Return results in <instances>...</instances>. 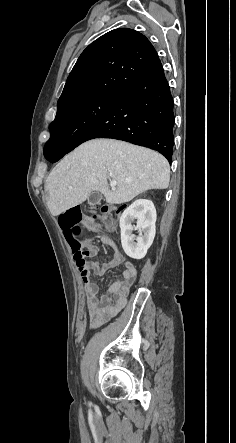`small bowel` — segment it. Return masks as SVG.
Instances as JSON below:
<instances>
[{
    "label": "small bowel",
    "instance_id": "small-bowel-1",
    "mask_svg": "<svg viewBox=\"0 0 236 443\" xmlns=\"http://www.w3.org/2000/svg\"><path fill=\"white\" fill-rule=\"evenodd\" d=\"M101 242L115 246L114 241L108 236H102ZM87 246L92 254L98 252V247L93 242H89ZM121 265L124 266L122 277L114 278L108 288L107 295H99V285L93 281L92 276H103L107 271ZM76 267L84 287L90 326L92 328L100 327L125 306L137 277V267L120 250H115L114 256L109 262H85L83 265L76 263Z\"/></svg>",
    "mask_w": 236,
    "mask_h": 443
}]
</instances>
